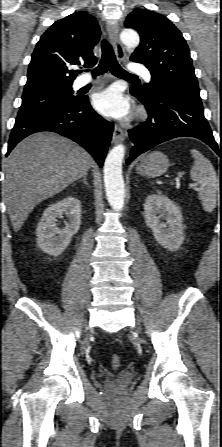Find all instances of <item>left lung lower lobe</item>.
I'll use <instances>...</instances> for the list:
<instances>
[{"label": "left lung lower lobe", "instance_id": "obj_1", "mask_svg": "<svg viewBox=\"0 0 222 447\" xmlns=\"http://www.w3.org/2000/svg\"><path fill=\"white\" fill-rule=\"evenodd\" d=\"M131 93L145 105L148 119L142 125L129 130L134 146L127 164L150 148L182 136L202 140L222 159V145L218 146L214 140L200 100L170 88L161 90L153 98H147L133 90Z\"/></svg>", "mask_w": 222, "mask_h": 447}]
</instances>
